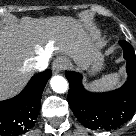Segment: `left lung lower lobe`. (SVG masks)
I'll list each match as a JSON object with an SVG mask.
<instances>
[{
  "label": "left lung lower lobe",
  "mask_w": 136,
  "mask_h": 136,
  "mask_svg": "<svg viewBox=\"0 0 136 136\" xmlns=\"http://www.w3.org/2000/svg\"><path fill=\"white\" fill-rule=\"evenodd\" d=\"M127 61L128 79L116 90L92 93L84 89L82 76L76 72H66L70 90L69 105L81 122L89 129H116L133 116L136 111V56L132 46L119 41Z\"/></svg>",
  "instance_id": "left-lung-lower-lobe-1"
}]
</instances>
